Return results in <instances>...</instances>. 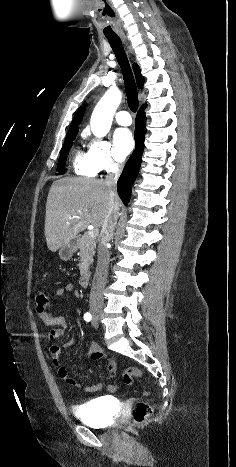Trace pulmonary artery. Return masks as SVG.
<instances>
[{"label": "pulmonary artery", "instance_id": "1", "mask_svg": "<svg viewBox=\"0 0 236 467\" xmlns=\"http://www.w3.org/2000/svg\"><path fill=\"white\" fill-rule=\"evenodd\" d=\"M116 121L119 125L129 126L132 123L131 116L128 111L122 110L116 114Z\"/></svg>", "mask_w": 236, "mask_h": 467}]
</instances>
